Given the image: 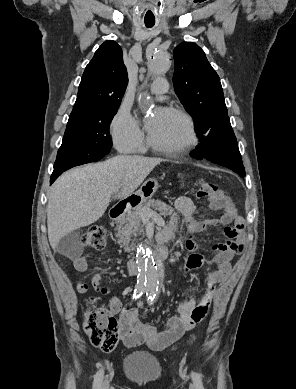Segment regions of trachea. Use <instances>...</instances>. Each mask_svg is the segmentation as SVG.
Segmentation results:
<instances>
[{
	"mask_svg": "<svg viewBox=\"0 0 296 389\" xmlns=\"http://www.w3.org/2000/svg\"><path fill=\"white\" fill-rule=\"evenodd\" d=\"M146 27H147V28H151V27H153V25H147V24H146Z\"/></svg>",
	"mask_w": 296,
	"mask_h": 389,
	"instance_id": "trachea-1",
	"label": "trachea"
}]
</instances>
